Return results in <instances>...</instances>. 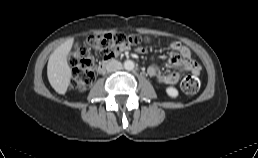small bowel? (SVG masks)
Masks as SVG:
<instances>
[{"label": "small bowel", "mask_w": 258, "mask_h": 158, "mask_svg": "<svg viewBox=\"0 0 258 158\" xmlns=\"http://www.w3.org/2000/svg\"><path fill=\"white\" fill-rule=\"evenodd\" d=\"M170 48L176 52L178 55H172L168 58L167 63L174 67L176 71L160 73L159 68L156 65H151L148 67V74L153 77L157 83L172 85L176 84L180 78V72L189 71L195 76H199L201 73L200 65L191 59L190 50L182 45L180 42H172ZM139 51H144L143 48H139Z\"/></svg>", "instance_id": "small-bowel-1"}]
</instances>
